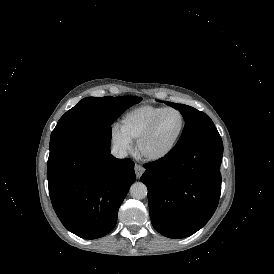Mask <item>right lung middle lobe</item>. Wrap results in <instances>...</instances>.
Returning a JSON list of instances; mask_svg holds the SVG:
<instances>
[{"label": "right lung middle lobe", "mask_w": 274, "mask_h": 274, "mask_svg": "<svg viewBox=\"0 0 274 274\" xmlns=\"http://www.w3.org/2000/svg\"><path fill=\"white\" fill-rule=\"evenodd\" d=\"M141 97H87L67 111L58 121L50 138V150L101 126L111 125L122 112L139 103Z\"/></svg>", "instance_id": "dd1d6c3e"}]
</instances>
